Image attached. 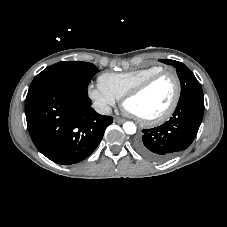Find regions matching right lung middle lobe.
I'll return each mask as SVG.
<instances>
[{
  "label": "right lung middle lobe",
  "mask_w": 227,
  "mask_h": 227,
  "mask_svg": "<svg viewBox=\"0 0 227 227\" xmlns=\"http://www.w3.org/2000/svg\"><path fill=\"white\" fill-rule=\"evenodd\" d=\"M99 72L94 64L82 61H62L47 67L32 81L28 93L56 86L85 93L92 77Z\"/></svg>",
  "instance_id": "right-lung-middle-lobe-1"
}]
</instances>
